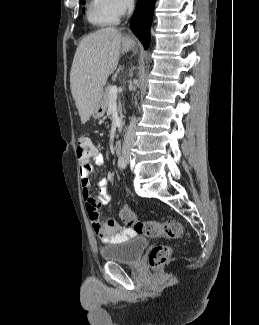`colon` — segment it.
Masks as SVG:
<instances>
[{
  "instance_id": "1",
  "label": "colon",
  "mask_w": 259,
  "mask_h": 325,
  "mask_svg": "<svg viewBox=\"0 0 259 325\" xmlns=\"http://www.w3.org/2000/svg\"><path fill=\"white\" fill-rule=\"evenodd\" d=\"M95 147L89 137H81L77 142V157L81 161L92 157ZM120 218L123 223L131 227L136 233L148 237H163L178 239L182 236L183 227L177 220H167L162 223L155 221H140L126 205L120 209ZM173 249L168 245H157L149 254V264L153 268L165 265L172 255Z\"/></svg>"
}]
</instances>
